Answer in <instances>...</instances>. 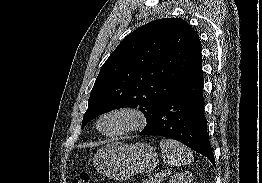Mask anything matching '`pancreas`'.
Masks as SVG:
<instances>
[{
    "instance_id": "1",
    "label": "pancreas",
    "mask_w": 262,
    "mask_h": 183,
    "mask_svg": "<svg viewBox=\"0 0 262 183\" xmlns=\"http://www.w3.org/2000/svg\"><path fill=\"white\" fill-rule=\"evenodd\" d=\"M160 176H161V175H160ZM165 176H166V174H165ZM164 178H165V177L159 178V176H158L157 178H155V179H150V180H148V181H146V182H144V183H161V182L164 180Z\"/></svg>"
}]
</instances>
